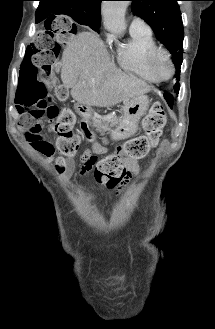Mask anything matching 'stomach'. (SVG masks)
<instances>
[{"label": "stomach", "instance_id": "obj_1", "mask_svg": "<svg viewBox=\"0 0 215 329\" xmlns=\"http://www.w3.org/2000/svg\"><path fill=\"white\" fill-rule=\"evenodd\" d=\"M148 107L149 99L146 95H139L126 101L119 123L109 132L111 139L119 141L135 135L138 131V123L146 114ZM74 109L85 119H89L93 113L90 106L81 103L75 104Z\"/></svg>", "mask_w": 215, "mask_h": 329}]
</instances>
